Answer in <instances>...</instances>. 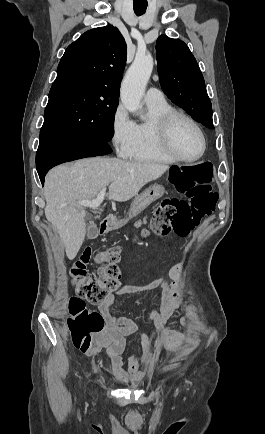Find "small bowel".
Here are the masks:
<instances>
[{
	"label": "small bowel",
	"instance_id": "small-bowel-1",
	"mask_svg": "<svg viewBox=\"0 0 265 434\" xmlns=\"http://www.w3.org/2000/svg\"><path fill=\"white\" fill-rule=\"evenodd\" d=\"M183 268L184 262L181 261L170 269L171 283L164 279H157L147 284L125 285L100 303L98 310L105 320V326L100 332L93 335L88 352L80 353L83 356L87 354L96 356L102 349H106L113 376L120 382H126L130 378L139 381V376H142L139 367L149 365L159 346L163 349L182 346L187 339V334L169 329L165 325L173 312L183 302ZM154 290H161L162 299L160 307L149 311L146 316L155 325V332L152 336L140 331L133 319L113 314L111 305L117 296L148 294ZM180 324L187 328L190 324V317L182 316ZM131 335L139 337L142 352L139 357L129 356L125 364L122 355L126 348V338ZM97 362H100V359H97Z\"/></svg>",
	"mask_w": 265,
	"mask_h": 434
}]
</instances>
